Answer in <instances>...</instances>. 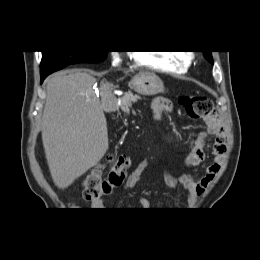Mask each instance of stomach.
<instances>
[{"label":"stomach","instance_id":"obj_1","mask_svg":"<svg viewBox=\"0 0 260 260\" xmlns=\"http://www.w3.org/2000/svg\"><path fill=\"white\" fill-rule=\"evenodd\" d=\"M131 88L138 94L153 96L164 92L163 81L153 73H139L130 82Z\"/></svg>","mask_w":260,"mask_h":260}]
</instances>
